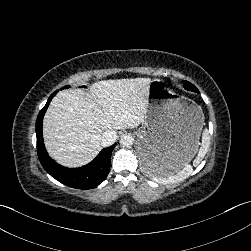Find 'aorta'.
Masks as SVG:
<instances>
[{
    "label": "aorta",
    "mask_w": 251,
    "mask_h": 251,
    "mask_svg": "<svg viewBox=\"0 0 251 251\" xmlns=\"http://www.w3.org/2000/svg\"><path fill=\"white\" fill-rule=\"evenodd\" d=\"M119 142L123 147H130L134 143V137L129 133H124L121 135Z\"/></svg>",
    "instance_id": "762f6f07"
}]
</instances>
